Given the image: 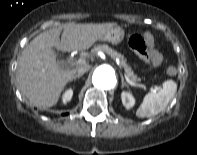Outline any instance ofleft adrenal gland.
Instances as JSON below:
<instances>
[{
	"instance_id": "left-adrenal-gland-1",
	"label": "left adrenal gland",
	"mask_w": 197,
	"mask_h": 155,
	"mask_svg": "<svg viewBox=\"0 0 197 155\" xmlns=\"http://www.w3.org/2000/svg\"><path fill=\"white\" fill-rule=\"evenodd\" d=\"M121 86L122 87L127 86V84L125 83L124 78L122 76H121Z\"/></svg>"
}]
</instances>
